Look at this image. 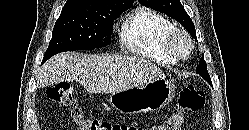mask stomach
Returning a JSON list of instances; mask_svg holds the SVG:
<instances>
[{"label":"stomach","instance_id":"stomach-1","mask_svg":"<svg viewBox=\"0 0 249 130\" xmlns=\"http://www.w3.org/2000/svg\"><path fill=\"white\" fill-rule=\"evenodd\" d=\"M175 96V85L165 78L112 93L109 102L123 114L147 113L167 106Z\"/></svg>","mask_w":249,"mask_h":130}]
</instances>
